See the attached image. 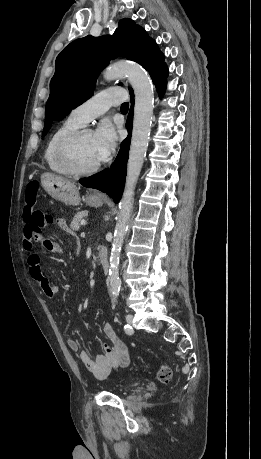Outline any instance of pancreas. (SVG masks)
<instances>
[{"label":"pancreas","instance_id":"1","mask_svg":"<svg viewBox=\"0 0 261 459\" xmlns=\"http://www.w3.org/2000/svg\"><path fill=\"white\" fill-rule=\"evenodd\" d=\"M87 215H88V211H86V210L78 212V213L74 216V218H73V220H72V222H71V224H70V228H71L73 231H78V230L80 229V222H81V220H82L84 217H86Z\"/></svg>","mask_w":261,"mask_h":459}]
</instances>
